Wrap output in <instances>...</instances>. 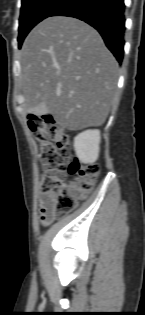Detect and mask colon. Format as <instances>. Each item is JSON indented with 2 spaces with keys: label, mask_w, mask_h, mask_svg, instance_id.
Here are the masks:
<instances>
[{
  "label": "colon",
  "mask_w": 145,
  "mask_h": 315,
  "mask_svg": "<svg viewBox=\"0 0 145 315\" xmlns=\"http://www.w3.org/2000/svg\"><path fill=\"white\" fill-rule=\"evenodd\" d=\"M28 126L40 146L43 167L40 191L56 194L57 215L68 213L75 208L77 200L93 188L100 168L97 164L82 165L77 159L69 161L70 138L50 115L29 116ZM67 172L74 175L68 184L65 182Z\"/></svg>",
  "instance_id": "obj_1"
}]
</instances>
